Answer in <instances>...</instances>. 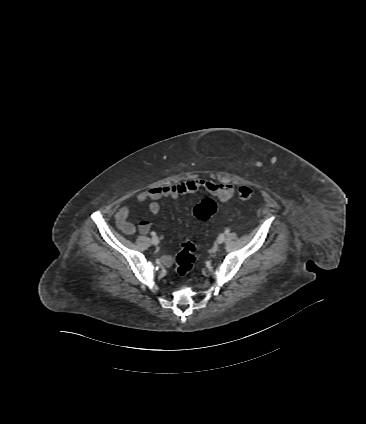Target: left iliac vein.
I'll list each match as a JSON object with an SVG mask.
<instances>
[{
  "label": "left iliac vein",
  "mask_w": 366,
  "mask_h": 424,
  "mask_svg": "<svg viewBox=\"0 0 366 424\" xmlns=\"http://www.w3.org/2000/svg\"><path fill=\"white\" fill-rule=\"evenodd\" d=\"M225 241V234H220L219 236H218V238H217V242L219 243V244H221V243H223Z\"/></svg>",
  "instance_id": "1"
}]
</instances>
